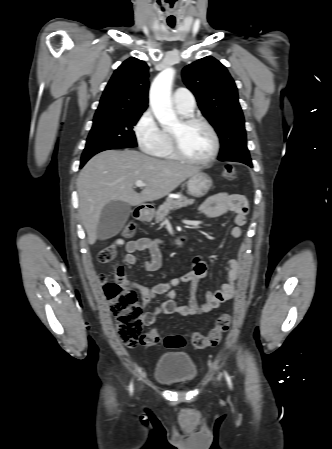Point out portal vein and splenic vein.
<instances>
[{"mask_svg": "<svg viewBox=\"0 0 332 449\" xmlns=\"http://www.w3.org/2000/svg\"><path fill=\"white\" fill-rule=\"evenodd\" d=\"M135 185L137 186V187H139V188H142V187H144V186H146V183H144L143 181H136L135 182Z\"/></svg>", "mask_w": 332, "mask_h": 449, "instance_id": "18ae733b", "label": "portal vein and splenic vein"}]
</instances>
